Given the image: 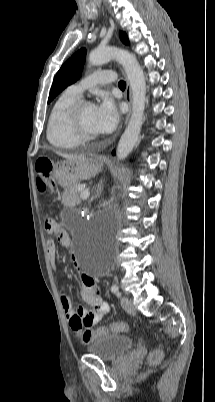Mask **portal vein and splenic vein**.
<instances>
[{"label":"portal vein and splenic vein","mask_w":215,"mask_h":402,"mask_svg":"<svg viewBox=\"0 0 215 402\" xmlns=\"http://www.w3.org/2000/svg\"><path fill=\"white\" fill-rule=\"evenodd\" d=\"M79 190H80V188H79ZM89 195H90V193H89L88 189H82L81 194H80L81 199L85 200L89 197Z\"/></svg>","instance_id":"18ae733b"}]
</instances>
